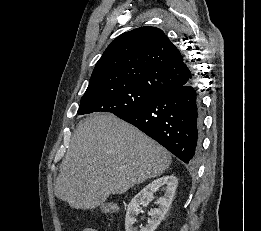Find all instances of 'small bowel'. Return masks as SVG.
I'll return each instance as SVG.
<instances>
[{
	"label": "small bowel",
	"mask_w": 261,
	"mask_h": 231,
	"mask_svg": "<svg viewBox=\"0 0 261 231\" xmlns=\"http://www.w3.org/2000/svg\"><path fill=\"white\" fill-rule=\"evenodd\" d=\"M82 231H99V230L96 228L87 227V228H84Z\"/></svg>",
	"instance_id": "1"
}]
</instances>
